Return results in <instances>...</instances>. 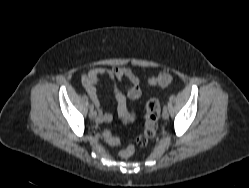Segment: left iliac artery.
Wrapping results in <instances>:
<instances>
[{
	"label": "left iliac artery",
	"instance_id": "obj_1",
	"mask_svg": "<svg viewBox=\"0 0 249 188\" xmlns=\"http://www.w3.org/2000/svg\"><path fill=\"white\" fill-rule=\"evenodd\" d=\"M163 110H167V106L166 105L163 107Z\"/></svg>",
	"mask_w": 249,
	"mask_h": 188
}]
</instances>
